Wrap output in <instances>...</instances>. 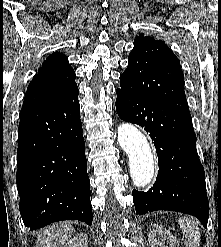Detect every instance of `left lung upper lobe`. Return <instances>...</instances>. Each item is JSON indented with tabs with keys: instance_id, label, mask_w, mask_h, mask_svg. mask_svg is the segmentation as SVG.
Wrapping results in <instances>:
<instances>
[{
	"instance_id": "1",
	"label": "left lung upper lobe",
	"mask_w": 221,
	"mask_h": 247,
	"mask_svg": "<svg viewBox=\"0 0 221 247\" xmlns=\"http://www.w3.org/2000/svg\"><path fill=\"white\" fill-rule=\"evenodd\" d=\"M130 80L138 95L181 112H189L180 61L161 41L140 34L122 74Z\"/></svg>"
}]
</instances>
